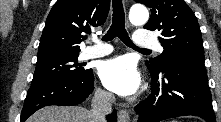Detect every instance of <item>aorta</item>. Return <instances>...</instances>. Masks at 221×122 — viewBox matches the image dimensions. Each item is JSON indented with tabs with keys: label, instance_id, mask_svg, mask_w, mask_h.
<instances>
[{
	"label": "aorta",
	"instance_id": "762f6f07",
	"mask_svg": "<svg viewBox=\"0 0 221 122\" xmlns=\"http://www.w3.org/2000/svg\"><path fill=\"white\" fill-rule=\"evenodd\" d=\"M149 19V12L142 4H134L129 12V20L134 25H144Z\"/></svg>",
	"mask_w": 221,
	"mask_h": 122
}]
</instances>
